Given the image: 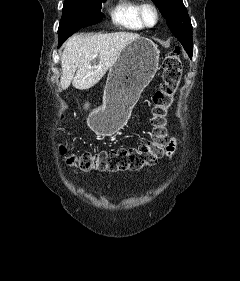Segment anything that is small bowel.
<instances>
[{
  "label": "small bowel",
  "mask_w": 240,
  "mask_h": 281,
  "mask_svg": "<svg viewBox=\"0 0 240 281\" xmlns=\"http://www.w3.org/2000/svg\"><path fill=\"white\" fill-rule=\"evenodd\" d=\"M175 148H176V141L175 139H171L169 141L168 147H167V156L172 158L174 152H175Z\"/></svg>",
  "instance_id": "1"
}]
</instances>
